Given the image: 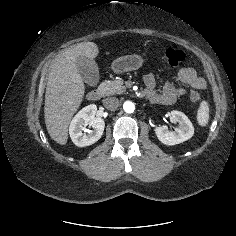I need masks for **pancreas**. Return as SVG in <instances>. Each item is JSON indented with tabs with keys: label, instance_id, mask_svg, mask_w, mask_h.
<instances>
[{
	"label": "pancreas",
	"instance_id": "obj_1",
	"mask_svg": "<svg viewBox=\"0 0 236 236\" xmlns=\"http://www.w3.org/2000/svg\"><path fill=\"white\" fill-rule=\"evenodd\" d=\"M122 80H114V81H105L104 85V94L114 95V94H122L126 91V87L123 85Z\"/></svg>",
	"mask_w": 236,
	"mask_h": 236
}]
</instances>
